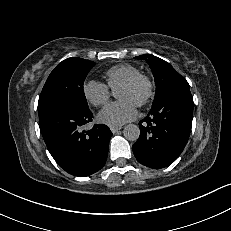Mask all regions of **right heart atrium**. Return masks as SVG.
<instances>
[{
    "instance_id": "right-heart-atrium-1",
    "label": "right heart atrium",
    "mask_w": 231,
    "mask_h": 231,
    "mask_svg": "<svg viewBox=\"0 0 231 231\" xmlns=\"http://www.w3.org/2000/svg\"><path fill=\"white\" fill-rule=\"evenodd\" d=\"M82 92L85 99L95 107L106 104L110 96L107 85L96 80L85 81L82 85Z\"/></svg>"
}]
</instances>
